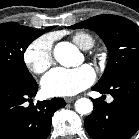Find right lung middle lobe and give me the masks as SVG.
<instances>
[{
  "label": "right lung middle lobe",
  "instance_id": "1",
  "mask_svg": "<svg viewBox=\"0 0 139 139\" xmlns=\"http://www.w3.org/2000/svg\"><path fill=\"white\" fill-rule=\"evenodd\" d=\"M44 30H34L16 22L0 24V76L23 84L35 80L24 62V52L29 44L42 35Z\"/></svg>",
  "mask_w": 139,
  "mask_h": 139
}]
</instances>
